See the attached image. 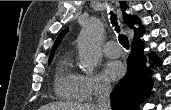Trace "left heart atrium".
Here are the masks:
<instances>
[{"mask_svg": "<svg viewBox=\"0 0 171 110\" xmlns=\"http://www.w3.org/2000/svg\"><path fill=\"white\" fill-rule=\"evenodd\" d=\"M124 74V66L119 61L107 62L104 66V76L108 80H117Z\"/></svg>", "mask_w": 171, "mask_h": 110, "instance_id": "obj_1", "label": "left heart atrium"}]
</instances>
